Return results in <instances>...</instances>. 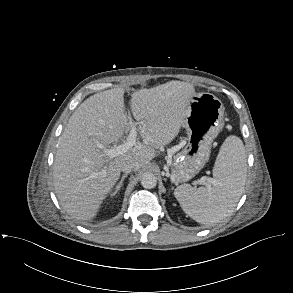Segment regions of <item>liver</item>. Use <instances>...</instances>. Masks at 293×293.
Returning <instances> with one entry per match:
<instances>
[{"label": "liver", "instance_id": "6515ba94", "mask_svg": "<svg viewBox=\"0 0 293 293\" xmlns=\"http://www.w3.org/2000/svg\"><path fill=\"white\" fill-rule=\"evenodd\" d=\"M193 85L170 81L131 95V110L143 143L110 159L101 147L117 143L130 127L124 89L114 88L87 98L71 115L62 135L53 167V183L60 205L72 218L93 219L120 178L124 162L134 171L147 166L156 150L171 143L188 115Z\"/></svg>", "mask_w": 293, "mask_h": 293}]
</instances>
